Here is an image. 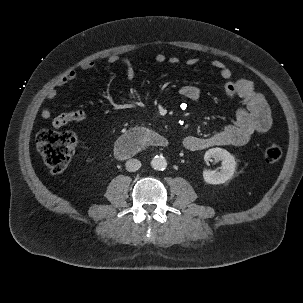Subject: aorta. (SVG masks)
<instances>
[{
	"label": "aorta",
	"instance_id": "obj_1",
	"mask_svg": "<svg viewBox=\"0 0 303 303\" xmlns=\"http://www.w3.org/2000/svg\"><path fill=\"white\" fill-rule=\"evenodd\" d=\"M151 166L154 170H164L167 167V161L163 156H155L151 160Z\"/></svg>",
	"mask_w": 303,
	"mask_h": 303
}]
</instances>
